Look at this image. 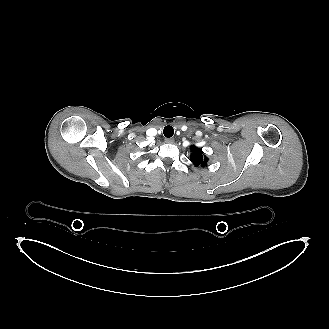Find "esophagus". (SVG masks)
<instances>
[{
    "mask_svg": "<svg viewBox=\"0 0 329 329\" xmlns=\"http://www.w3.org/2000/svg\"><path fill=\"white\" fill-rule=\"evenodd\" d=\"M165 142H166L167 144H172V143H174V139H173V138H166V139H165Z\"/></svg>",
    "mask_w": 329,
    "mask_h": 329,
    "instance_id": "1",
    "label": "esophagus"
}]
</instances>
